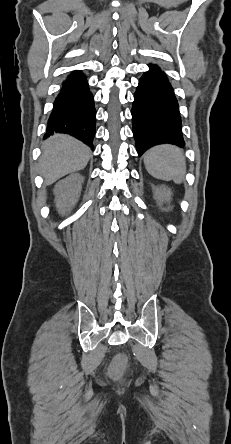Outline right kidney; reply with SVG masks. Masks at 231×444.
Listing matches in <instances>:
<instances>
[{
	"label": "right kidney",
	"mask_w": 231,
	"mask_h": 444,
	"mask_svg": "<svg viewBox=\"0 0 231 444\" xmlns=\"http://www.w3.org/2000/svg\"><path fill=\"white\" fill-rule=\"evenodd\" d=\"M83 177L79 174H71L65 179L59 181L55 188V203L60 213L69 211L78 198L82 189Z\"/></svg>",
	"instance_id": "1"
}]
</instances>
